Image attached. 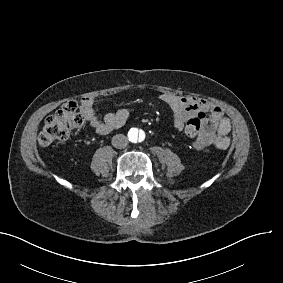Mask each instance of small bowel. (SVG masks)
Segmentation results:
<instances>
[{
    "label": "small bowel",
    "mask_w": 283,
    "mask_h": 283,
    "mask_svg": "<svg viewBox=\"0 0 283 283\" xmlns=\"http://www.w3.org/2000/svg\"><path fill=\"white\" fill-rule=\"evenodd\" d=\"M160 100L165 103L174 116V126L182 132L181 124L185 118L193 117L200 120L206 129L205 137L193 141L192 148L201 151L209 146L227 149L231 144V120L223 109L206 98L194 95H176L162 93ZM97 97H85L80 101V109L88 124L101 135L108 134L125 125L130 117L127 108L107 113L101 118L96 109Z\"/></svg>",
    "instance_id": "c3829d8e"
}]
</instances>
